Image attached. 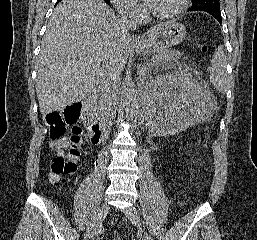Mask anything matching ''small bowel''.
Segmentation results:
<instances>
[{
    "instance_id": "c3829d8e",
    "label": "small bowel",
    "mask_w": 257,
    "mask_h": 240,
    "mask_svg": "<svg viewBox=\"0 0 257 240\" xmlns=\"http://www.w3.org/2000/svg\"><path fill=\"white\" fill-rule=\"evenodd\" d=\"M50 147L53 148L56 154L64 153L68 146V142L65 138L58 140H51L49 143Z\"/></svg>"
}]
</instances>
